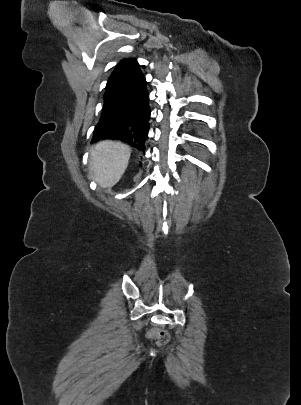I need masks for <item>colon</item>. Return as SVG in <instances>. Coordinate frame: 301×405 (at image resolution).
I'll use <instances>...</instances> for the list:
<instances>
[{
	"mask_svg": "<svg viewBox=\"0 0 301 405\" xmlns=\"http://www.w3.org/2000/svg\"><path fill=\"white\" fill-rule=\"evenodd\" d=\"M150 337H152L158 345H165L168 343L170 339V335L168 331L164 329L154 330L150 333Z\"/></svg>",
	"mask_w": 301,
	"mask_h": 405,
	"instance_id": "5ec220e1",
	"label": "colon"
}]
</instances>
